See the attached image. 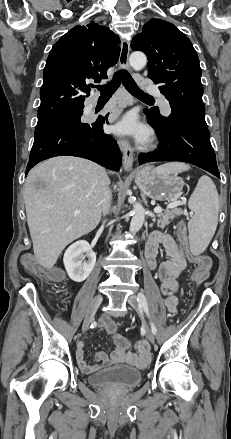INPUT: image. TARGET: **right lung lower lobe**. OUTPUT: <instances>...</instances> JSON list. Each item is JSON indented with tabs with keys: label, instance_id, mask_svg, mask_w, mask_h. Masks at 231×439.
<instances>
[{
	"label": "right lung lower lobe",
	"instance_id": "obj_1",
	"mask_svg": "<svg viewBox=\"0 0 231 439\" xmlns=\"http://www.w3.org/2000/svg\"><path fill=\"white\" fill-rule=\"evenodd\" d=\"M108 114L94 123L57 122L35 129L28 171L42 160L62 155L92 160L107 169L119 171L121 155L116 141L103 132Z\"/></svg>",
	"mask_w": 231,
	"mask_h": 439
}]
</instances>
